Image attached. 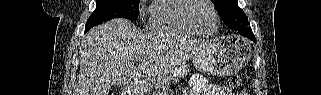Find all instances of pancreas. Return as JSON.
I'll list each match as a JSON object with an SVG mask.
<instances>
[{
	"instance_id": "pancreas-1",
	"label": "pancreas",
	"mask_w": 321,
	"mask_h": 95,
	"mask_svg": "<svg viewBox=\"0 0 321 95\" xmlns=\"http://www.w3.org/2000/svg\"><path fill=\"white\" fill-rule=\"evenodd\" d=\"M169 90V86H165L163 89L157 91L156 95H166Z\"/></svg>"
}]
</instances>
